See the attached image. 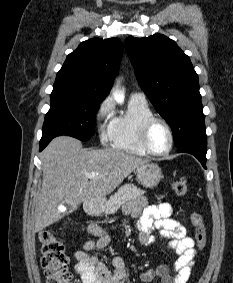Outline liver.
<instances>
[{"label": "liver", "instance_id": "6515ba94", "mask_svg": "<svg viewBox=\"0 0 233 283\" xmlns=\"http://www.w3.org/2000/svg\"><path fill=\"white\" fill-rule=\"evenodd\" d=\"M42 189L36 199L35 232L59 221L65 213L60 205L78 206L101 200L123 180L149 160L110 148L84 150L81 141L60 136L53 139L41 154ZM98 175L88 178L87 173Z\"/></svg>", "mask_w": 233, "mask_h": 283}]
</instances>
